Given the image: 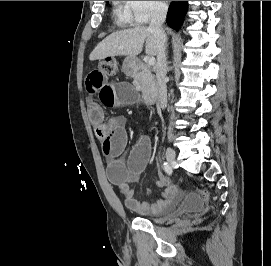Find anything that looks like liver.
<instances>
[{"instance_id":"liver-1","label":"liver","mask_w":271,"mask_h":266,"mask_svg":"<svg viewBox=\"0 0 271 266\" xmlns=\"http://www.w3.org/2000/svg\"><path fill=\"white\" fill-rule=\"evenodd\" d=\"M144 43L147 55H157L156 38L149 28L137 26L114 32L96 46L89 59L94 61L113 56L135 57L141 53Z\"/></svg>"}]
</instances>
